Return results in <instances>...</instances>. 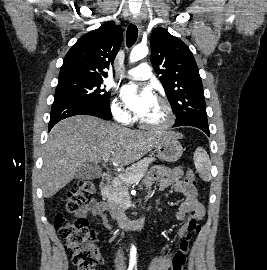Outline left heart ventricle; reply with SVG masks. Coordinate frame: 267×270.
<instances>
[{"label": "left heart ventricle", "instance_id": "1", "mask_svg": "<svg viewBox=\"0 0 267 270\" xmlns=\"http://www.w3.org/2000/svg\"><path fill=\"white\" fill-rule=\"evenodd\" d=\"M141 118L150 124H161L165 121L166 114L163 106L156 100Z\"/></svg>", "mask_w": 267, "mask_h": 270}]
</instances>
